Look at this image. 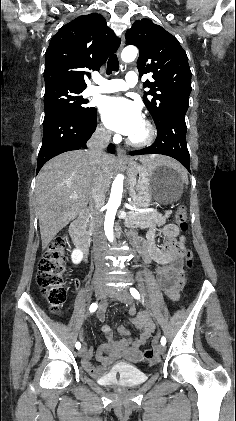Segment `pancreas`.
<instances>
[{
    "instance_id": "pancreas-1",
    "label": "pancreas",
    "mask_w": 236,
    "mask_h": 421,
    "mask_svg": "<svg viewBox=\"0 0 236 421\" xmlns=\"http://www.w3.org/2000/svg\"><path fill=\"white\" fill-rule=\"evenodd\" d=\"M132 204V202H131ZM172 211H166L164 217L160 213H137V211H129L127 213L126 219H124V225L129 227V229H147L150 225H165L166 219L170 217ZM86 233L91 235L93 233L92 223H89L86 227Z\"/></svg>"
}]
</instances>
